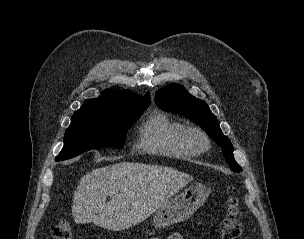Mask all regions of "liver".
<instances>
[{"label":"liver","mask_w":304,"mask_h":239,"mask_svg":"<svg viewBox=\"0 0 304 239\" xmlns=\"http://www.w3.org/2000/svg\"><path fill=\"white\" fill-rule=\"evenodd\" d=\"M192 179L171 167L141 163L119 162L98 168L80 179L72 216L77 224L93 222L112 231L128 229L151 216Z\"/></svg>","instance_id":"obj_1"}]
</instances>
